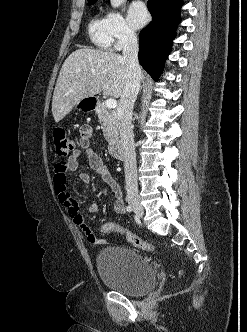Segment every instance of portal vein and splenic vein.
<instances>
[{
    "label": "portal vein and splenic vein",
    "mask_w": 247,
    "mask_h": 332,
    "mask_svg": "<svg viewBox=\"0 0 247 332\" xmlns=\"http://www.w3.org/2000/svg\"><path fill=\"white\" fill-rule=\"evenodd\" d=\"M105 105L107 106V108L111 109V108H116L117 107V101L114 98H108L105 101Z\"/></svg>",
    "instance_id": "18ae733b"
}]
</instances>
